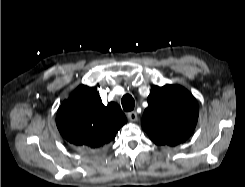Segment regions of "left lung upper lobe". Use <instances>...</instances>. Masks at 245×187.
<instances>
[{
	"label": "left lung upper lobe",
	"mask_w": 245,
	"mask_h": 187,
	"mask_svg": "<svg viewBox=\"0 0 245 187\" xmlns=\"http://www.w3.org/2000/svg\"><path fill=\"white\" fill-rule=\"evenodd\" d=\"M198 115L197 101L188 90L178 85L155 86L142 127L156 145L176 146L191 136Z\"/></svg>",
	"instance_id": "5c2ea615"
}]
</instances>
